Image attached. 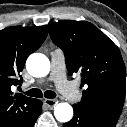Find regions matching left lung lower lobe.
Here are the masks:
<instances>
[{
	"mask_svg": "<svg viewBox=\"0 0 127 127\" xmlns=\"http://www.w3.org/2000/svg\"><path fill=\"white\" fill-rule=\"evenodd\" d=\"M74 117L71 121L64 123L63 127H114L117 121H113L85 110L74 104Z\"/></svg>",
	"mask_w": 127,
	"mask_h": 127,
	"instance_id": "obj_1",
	"label": "left lung lower lobe"
}]
</instances>
